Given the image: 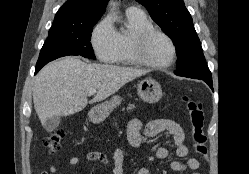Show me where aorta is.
I'll return each mask as SVG.
<instances>
[{"label":"aorta","mask_w":249,"mask_h":174,"mask_svg":"<svg viewBox=\"0 0 249 174\" xmlns=\"http://www.w3.org/2000/svg\"><path fill=\"white\" fill-rule=\"evenodd\" d=\"M110 5L112 6L111 11L114 13V11H115V3H114V2H111Z\"/></svg>","instance_id":"762f6f07"}]
</instances>
